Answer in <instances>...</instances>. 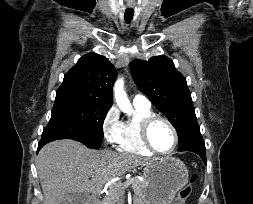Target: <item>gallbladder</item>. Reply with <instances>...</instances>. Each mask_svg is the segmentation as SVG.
<instances>
[{
	"label": "gallbladder",
	"instance_id": "obj_1",
	"mask_svg": "<svg viewBox=\"0 0 253 204\" xmlns=\"http://www.w3.org/2000/svg\"><path fill=\"white\" fill-rule=\"evenodd\" d=\"M89 195L88 193H76L69 194L68 197L62 202V204H86Z\"/></svg>",
	"mask_w": 253,
	"mask_h": 204
}]
</instances>
